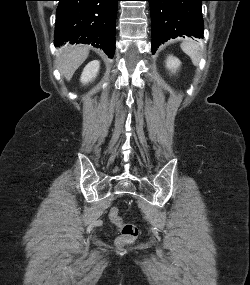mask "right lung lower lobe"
I'll return each instance as SVG.
<instances>
[{
  "mask_svg": "<svg viewBox=\"0 0 250 285\" xmlns=\"http://www.w3.org/2000/svg\"><path fill=\"white\" fill-rule=\"evenodd\" d=\"M55 45L86 43L102 48L109 57L115 52V26L119 0H58Z\"/></svg>",
  "mask_w": 250,
  "mask_h": 285,
  "instance_id": "obj_1",
  "label": "right lung lower lobe"
}]
</instances>
